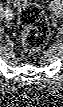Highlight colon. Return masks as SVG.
Here are the masks:
<instances>
[{"label":"colon","mask_w":63,"mask_h":107,"mask_svg":"<svg viewBox=\"0 0 63 107\" xmlns=\"http://www.w3.org/2000/svg\"><path fill=\"white\" fill-rule=\"evenodd\" d=\"M18 19L21 28L22 47L28 54H34L46 44L49 36L47 18L36 3L16 1Z\"/></svg>","instance_id":"obj_1"}]
</instances>
